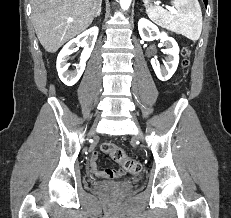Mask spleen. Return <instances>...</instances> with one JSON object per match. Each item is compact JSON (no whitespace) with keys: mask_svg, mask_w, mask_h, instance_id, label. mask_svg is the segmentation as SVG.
<instances>
[{"mask_svg":"<svg viewBox=\"0 0 231 218\" xmlns=\"http://www.w3.org/2000/svg\"><path fill=\"white\" fill-rule=\"evenodd\" d=\"M148 17L158 25L186 38L197 41L202 31V12L198 0H173L174 12L160 6H149L143 0Z\"/></svg>","mask_w":231,"mask_h":218,"instance_id":"obj_1","label":"spleen"}]
</instances>
